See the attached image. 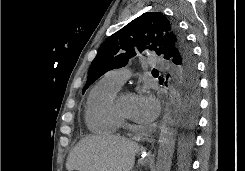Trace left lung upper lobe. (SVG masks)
<instances>
[{
  "instance_id": "left-lung-upper-lobe-1",
  "label": "left lung upper lobe",
  "mask_w": 245,
  "mask_h": 171,
  "mask_svg": "<svg viewBox=\"0 0 245 171\" xmlns=\"http://www.w3.org/2000/svg\"><path fill=\"white\" fill-rule=\"evenodd\" d=\"M145 49L164 55L165 59L194 61L184 35L175 22L163 13L146 12L110 36L92 61L82 94L106 72L124 67L128 60ZM175 63V61H173Z\"/></svg>"
}]
</instances>
